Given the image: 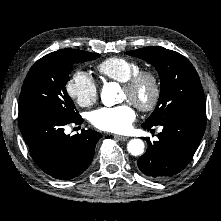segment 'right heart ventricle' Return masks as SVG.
I'll return each instance as SVG.
<instances>
[{"label": "right heart ventricle", "instance_id": "right-heart-ventricle-1", "mask_svg": "<svg viewBox=\"0 0 221 221\" xmlns=\"http://www.w3.org/2000/svg\"><path fill=\"white\" fill-rule=\"evenodd\" d=\"M97 72L106 79L124 83L141 71L138 62L124 57H110L96 66Z\"/></svg>", "mask_w": 221, "mask_h": 221}]
</instances>
